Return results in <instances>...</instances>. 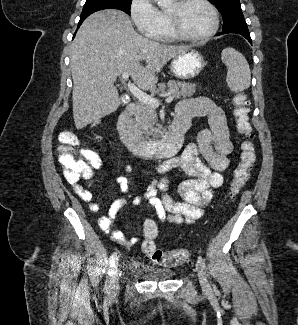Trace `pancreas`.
Wrapping results in <instances>:
<instances>
[{
  "label": "pancreas",
  "mask_w": 298,
  "mask_h": 325,
  "mask_svg": "<svg viewBox=\"0 0 298 325\" xmlns=\"http://www.w3.org/2000/svg\"><path fill=\"white\" fill-rule=\"evenodd\" d=\"M166 86L168 88H174L172 96H174L175 100L192 96V94L197 92L195 82H183V80H169L166 84L165 82H159L157 88H152L151 92L166 94L168 92V90H165ZM132 126L141 138H150V136H154L155 138L156 134H159V130L162 128L155 108H152L149 104L140 102V100L136 104Z\"/></svg>",
  "instance_id": "pancreas-1"
}]
</instances>
